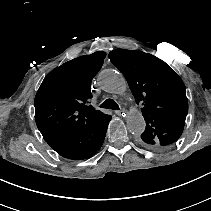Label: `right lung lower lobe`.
I'll return each mask as SVG.
<instances>
[{"label": "right lung lower lobe", "instance_id": "obj_1", "mask_svg": "<svg viewBox=\"0 0 211 211\" xmlns=\"http://www.w3.org/2000/svg\"><path fill=\"white\" fill-rule=\"evenodd\" d=\"M110 115L102 114L90 124L46 141L59 155L67 159L82 160L93 156L102 146Z\"/></svg>", "mask_w": 211, "mask_h": 211}]
</instances>
